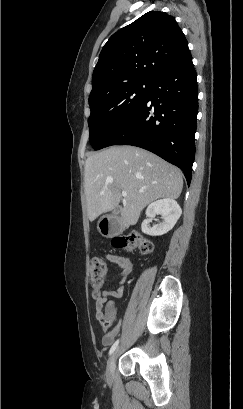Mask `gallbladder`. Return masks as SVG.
<instances>
[{"label":"gallbladder","mask_w":243,"mask_h":409,"mask_svg":"<svg viewBox=\"0 0 243 409\" xmlns=\"http://www.w3.org/2000/svg\"><path fill=\"white\" fill-rule=\"evenodd\" d=\"M119 209H120V207H119V206H117V207L115 208V210H114L113 214H114V215H117V214H118V212H119Z\"/></svg>","instance_id":"obj_1"}]
</instances>
